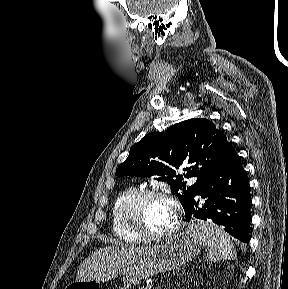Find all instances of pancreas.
I'll return each mask as SVG.
<instances>
[{
  "mask_svg": "<svg viewBox=\"0 0 288 289\" xmlns=\"http://www.w3.org/2000/svg\"><path fill=\"white\" fill-rule=\"evenodd\" d=\"M138 289H151V286H142V287H139Z\"/></svg>",
  "mask_w": 288,
  "mask_h": 289,
  "instance_id": "1",
  "label": "pancreas"
}]
</instances>
